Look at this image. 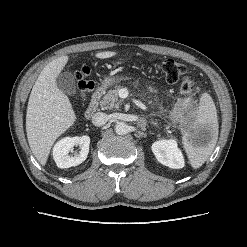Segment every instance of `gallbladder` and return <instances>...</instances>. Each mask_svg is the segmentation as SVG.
Instances as JSON below:
<instances>
[{
  "label": "gallbladder",
  "mask_w": 247,
  "mask_h": 247,
  "mask_svg": "<svg viewBox=\"0 0 247 247\" xmlns=\"http://www.w3.org/2000/svg\"><path fill=\"white\" fill-rule=\"evenodd\" d=\"M58 88L69 96H77L75 77L70 72L60 73L56 78Z\"/></svg>",
  "instance_id": "1"
}]
</instances>
